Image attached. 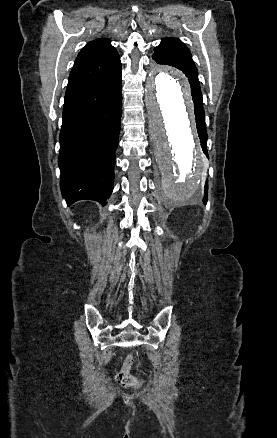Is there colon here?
Segmentation results:
<instances>
[{
    "mask_svg": "<svg viewBox=\"0 0 277 438\" xmlns=\"http://www.w3.org/2000/svg\"><path fill=\"white\" fill-rule=\"evenodd\" d=\"M131 357H129L130 359ZM116 381L122 386L133 387L139 384V380L129 372L122 370L116 375Z\"/></svg>",
    "mask_w": 277,
    "mask_h": 438,
    "instance_id": "1",
    "label": "colon"
}]
</instances>
